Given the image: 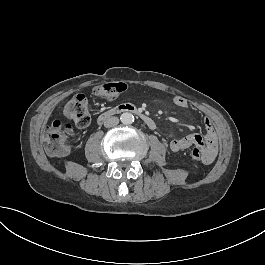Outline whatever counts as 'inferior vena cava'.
I'll list each match as a JSON object with an SVG mask.
<instances>
[{
	"instance_id": "inferior-vena-cava-1",
	"label": "inferior vena cava",
	"mask_w": 265,
	"mask_h": 265,
	"mask_svg": "<svg viewBox=\"0 0 265 265\" xmlns=\"http://www.w3.org/2000/svg\"><path fill=\"white\" fill-rule=\"evenodd\" d=\"M119 124V119L117 117H107L104 121V126L106 128H111Z\"/></svg>"
}]
</instances>
